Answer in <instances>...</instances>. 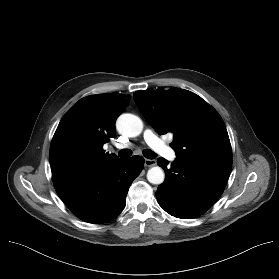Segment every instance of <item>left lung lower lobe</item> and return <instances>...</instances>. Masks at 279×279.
<instances>
[{"label": "left lung lower lobe", "mask_w": 279, "mask_h": 279, "mask_svg": "<svg viewBox=\"0 0 279 279\" xmlns=\"http://www.w3.org/2000/svg\"><path fill=\"white\" fill-rule=\"evenodd\" d=\"M166 174L156 197L170 215L190 219L207 211L222 194L231 166L228 164L176 158L170 166L164 158L157 160Z\"/></svg>", "instance_id": "1"}]
</instances>
